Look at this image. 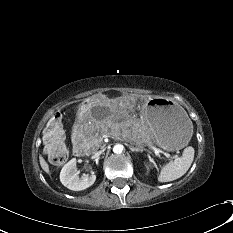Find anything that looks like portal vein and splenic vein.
I'll use <instances>...</instances> for the list:
<instances>
[{"mask_svg": "<svg viewBox=\"0 0 233 233\" xmlns=\"http://www.w3.org/2000/svg\"><path fill=\"white\" fill-rule=\"evenodd\" d=\"M151 149L155 152V154H160V153H162L165 157H167L168 159H175V160H177L178 159V157H173L172 155H170L168 152H164V151H162L161 149H159V148H156L155 146H152L151 145Z\"/></svg>", "mask_w": 233, "mask_h": 233, "instance_id": "18ae733b", "label": "portal vein and splenic vein"}]
</instances>
